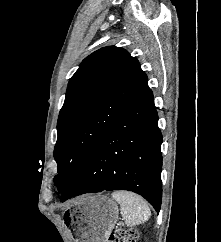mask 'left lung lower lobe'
<instances>
[{"mask_svg": "<svg viewBox=\"0 0 221 242\" xmlns=\"http://www.w3.org/2000/svg\"><path fill=\"white\" fill-rule=\"evenodd\" d=\"M162 135L152 91H148L99 138L77 181L61 202L85 193L129 190L157 212L162 199Z\"/></svg>", "mask_w": 221, "mask_h": 242, "instance_id": "obj_1", "label": "left lung lower lobe"}]
</instances>
